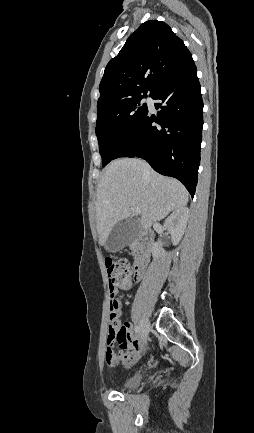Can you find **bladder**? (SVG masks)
<instances>
[{"mask_svg":"<svg viewBox=\"0 0 254 433\" xmlns=\"http://www.w3.org/2000/svg\"><path fill=\"white\" fill-rule=\"evenodd\" d=\"M140 381H141V376L140 375H134V376L130 377L129 379L125 380L124 382H122L119 385V387L121 390L135 389L140 384Z\"/></svg>","mask_w":254,"mask_h":433,"instance_id":"31cf9c89","label":"bladder"}]
</instances>
